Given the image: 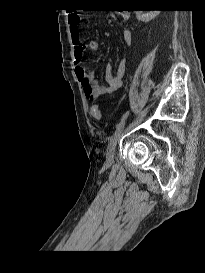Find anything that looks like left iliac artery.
<instances>
[{
  "mask_svg": "<svg viewBox=\"0 0 205 273\" xmlns=\"http://www.w3.org/2000/svg\"><path fill=\"white\" fill-rule=\"evenodd\" d=\"M128 115H129V111H127L123 116H122V118H121V122L123 121V120H125L127 117H128ZM120 122V123H121ZM119 123V124H120ZM118 126V125H117Z\"/></svg>",
  "mask_w": 205,
  "mask_h": 273,
  "instance_id": "left-iliac-artery-1",
  "label": "left iliac artery"
}]
</instances>
